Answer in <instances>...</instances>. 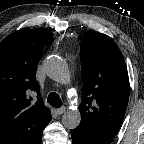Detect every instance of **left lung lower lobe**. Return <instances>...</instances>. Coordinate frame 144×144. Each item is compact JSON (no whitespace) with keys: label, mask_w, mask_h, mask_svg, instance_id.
<instances>
[{"label":"left lung lower lobe","mask_w":144,"mask_h":144,"mask_svg":"<svg viewBox=\"0 0 144 144\" xmlns=\"http://www.w3.org/2000/svg\"><path fill=\"white\" fill-rule=\"evenodd\" d=\"M73 144H111V141L94 139L76 128L71 132Z\"/></svg>","instance_id":"1"}]
</instances>
